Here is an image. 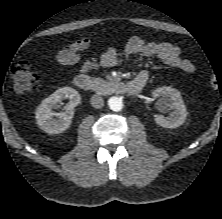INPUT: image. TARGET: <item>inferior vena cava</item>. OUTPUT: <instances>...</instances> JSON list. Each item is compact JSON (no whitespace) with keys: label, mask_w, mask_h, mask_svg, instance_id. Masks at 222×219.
Returning <instances> with one entry per match:
<instances>
[{"label":"inferior vena cava","mask_w":222,"mask_h":219,"mask_svg":"<svg viewBox=\"0 0 222 219\" xmlns=\"http://www.w3.org/2000/svg\"><path fill=\"white\" fill-rule=\"evenodd\" d=\"M90 102H91L92 107H94L96 109H100L104 106L103 98L100 95H97V94L93 95L91 97Z\"/></svg>","instance_id":"1"}]
</instances>
